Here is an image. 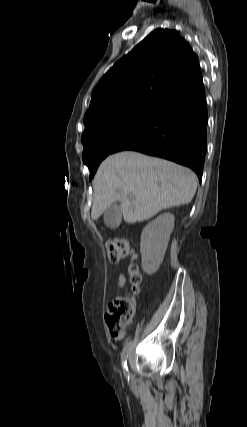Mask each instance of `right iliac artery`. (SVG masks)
I'll return each mask as SVG.
<instances>
[{
  "instance_id": "right-iliac-artery-1",
  "label": "right iliac artery",
  "mask_w": 247,
  "mask_h": 427,
  "mask_svg": "<svg viewBox=\"0 0 247 427\" xmlns=\"http://www.w3.org/2000/svg\"><path fill=\"white\" fill-rule=\"evenodd\" d=\"M131 342L127 341L123 347V351H122V367L124 370V374L125 376L129 375V371H128V367H127V359H128V351H129V347H130Z\"/></svg>"
}]
</instances>
